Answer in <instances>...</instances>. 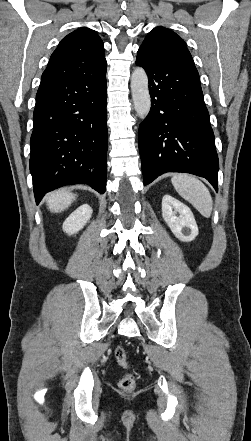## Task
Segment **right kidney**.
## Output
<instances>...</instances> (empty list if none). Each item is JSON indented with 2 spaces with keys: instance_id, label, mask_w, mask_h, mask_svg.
<instances>
[{
  "instance_id": "1",
  "label": "right kidney",
  "mask_w": 251,
  "mask_h": 441,
  "mask_svg": "<svg viewBox=\"0 0 251 441\" xmlns=\"http://www.w3.org/2000/svg\"><path fill=\"white\" fill-rule=\"evenodd\" d=\"M92 208L88 204L78 207L63 223V231L68 235L79 232L90 220Z\"/></svg>"
}]
</instances>
